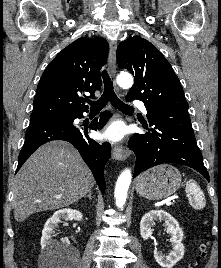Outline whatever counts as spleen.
Instances as JSON below:
<instances>
[{"label": "spleen", "instance_id": "1", "mask_svg": "<svg viewBox=\"0 0 221 268\" xmlns=\"http://www.w3.org/2000/svg\"><path fill=\"white\" fill-rule=\"evenodd\" d=\"M186 193L190 197V204L195 209H202L206 205L205 196L199 185L193 180L189 179L186 182Z\"/></svg>", "mask_w": 221, "mask_h": 268}]
</instances>
